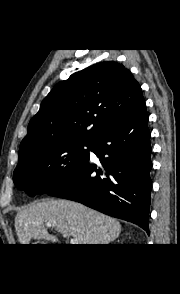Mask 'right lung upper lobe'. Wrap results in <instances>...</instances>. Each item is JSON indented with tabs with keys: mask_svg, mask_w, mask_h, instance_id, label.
Returning <instances> with one entry per match:
<instances>
[{
	"mask_svg": "<svg viewBox=\"0 0 180 294\" xmlns=\"http://www.w3.org/2000/svg\"><path fill=\"white\" fill-rule=\"evenodd\" d=\"M143 101L140 85L117 62L76 72L55 85L41 103L20 144L19 162L46 147L93 142Z\"/></svg>",
	"mask_w": 180,
	"mask_h": 294,
	"instance_id": "obj_1",
	"label": "right lung upper lobe"
}]
</instances>
